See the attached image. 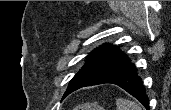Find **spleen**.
Wrapping results in <instances>:
<instances>
[{
	"mask_svg": "<svg viewBox=\"0 0 171 110\" xmlns=\"http://www.w3.org/2000/svg\"><path fill=\"white\" fill-rule=\"evenodd\" d=\"M117 110H141V107L129 99L119 98L117 99Z\"/></svg>",
	"mask_w": 171,
	"mask_h": 110,
	"instance_id": "obj_1",
	"label": "spleen"
}]
</instances>
